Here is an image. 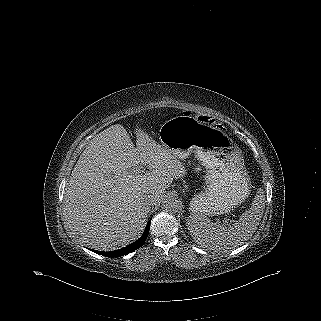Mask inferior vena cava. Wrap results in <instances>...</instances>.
I'll use <instances>...</instances> for the list:
<instances>
[{"mask_svg": "<svg viewBox=\"0 0 321 321\" xmlns=\"http://www.w3.org/2000/svg\"><path fill=\"white\" fill-rule=\"evenodd\" d=\"M143 202H144L145 205L151 206V205L154 204V197H153V196H150V195L145 196V197L143 198Z\"/></svg>", "mask_w": 321, "mask_h": 321, "instance_id": "1", "label": "inferior vena cava"}]
</instances>
